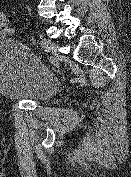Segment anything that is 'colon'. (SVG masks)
I'll use <instances>...</instances> for the list:
<instances>
[{
    "label": "colon",
    "mask_w": 131,
    "mask_h": 177,
    "mask_svg": "<svg viewBox=\"0 0 131 177\" xmlns=\"http://www.w3.org/2000/svg\"><path fill=\"white\" fill-rule=\"evenodd\" d=\"M12 32V26L9 18L0 11V35H9Z\"/></svg>",
    "instance_id": "5ec220e1"
}]
</instances>
